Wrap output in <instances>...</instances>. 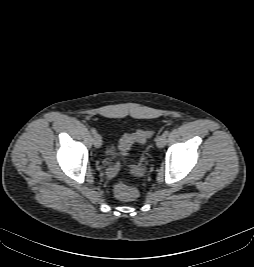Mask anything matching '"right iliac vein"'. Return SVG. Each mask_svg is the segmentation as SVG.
Instances as JSON below:
<instances>
[{"instance_id":"right-iliac-vein-1","label":"right iliac vein","mask_w":254,"mask_h":267,"mask_svg":"<svg viewBox=\"0 0 254 267\" xmlns=\"http://www.w3.org/2000/svg\"><path fill=\"white\" fill-rule=\"evenodd\" d=\"M93 144L96 148H100L102 145V138L99 134H95L93 137Z\"/></svg>"}]
</instances>
